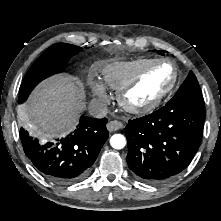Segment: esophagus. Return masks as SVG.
Wrapping results in <instances>:
<instances>
[{
    "label": "esophagus",
    "instance_id": "esophagus-1",
    "mask_svg": "<svg viewBox=\"0 0 221 221\" xmlns=\"http://www.w3.org/2000/svg\"><path fill=\"white\" fill-rule=\"evenodd\" d=\"M123 128V123L117 120L110 121L107 124V129L109 132L117 131Z\"/></svg>",
    "mask_w": 221,
    "mask_h": 221
}]
</instances>
